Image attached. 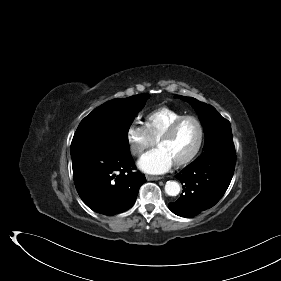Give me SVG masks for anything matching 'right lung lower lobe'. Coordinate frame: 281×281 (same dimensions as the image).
<instances>
[{
	"mask_svg": "<svg viewBox=\"0 0 281 281\" xmlns=\"http://www.w3.org/2000/svg\"><path fill=\"white\" fill-rule=\"evenodd\" d=\"M73 178L83 202L103 215L122 213L131 208L144 174L133 172L130 152L117 155L95 153L72 159Z\"/></svg>",
	"mask_w": 281,
	"mask_h": 281,
	"instance_id": "right-lung-lower-lobe-1",
	"label": "right lung lower lobe"
}]
</instances>
